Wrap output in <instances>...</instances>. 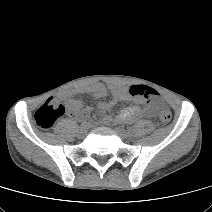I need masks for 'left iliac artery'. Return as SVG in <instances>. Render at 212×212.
<instances>
[{
	"label": "left iliac artery",
	"instance_id": "left-iliac-artery-1",
	"mask_svg": "<svg viewBox=\"0 0 212 212\" xmlns=\"http://www.w3.org/2000/svg\"><path fill=\"white\" fill-rule=\"evenodd\" d=\"M129 131L132 133V132H133V129H132V128H130V129H129Z\"/></svg>",
	"mask_w": 212,
	"mask_h": 212
}]
</instances>
